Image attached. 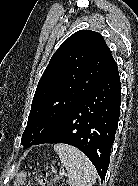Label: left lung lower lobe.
<instances>
[{
    "instance_id": "obj_1",
    "label": "left lung lower lobe",
    "mask_w": 138,
    "mask_h": 186,
    "mask_svg": "<svg viewBox=\"0 0 138 186\" xmlns=\"http://www.w3.org/2000/svg\"><path fill=\"white\" fill-rule=\"evenodd\" d=\"M121 104V83L117 65L50 132L33 145L65 143L80 149L105 178L115 139Z\"/></svg>"
}]
</instances>
